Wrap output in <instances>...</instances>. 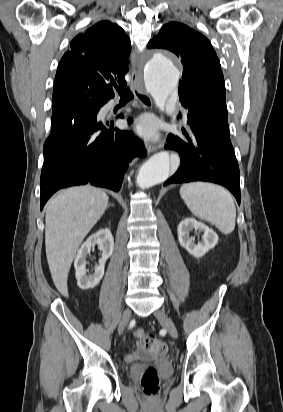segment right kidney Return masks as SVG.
<instances>
[{
	"mask_svg": "<svg viewBox=\"0 0 283 412\" xmlns=\"http://www.w3.org/2000/svg\"><path fill=\"white\" fill-rule=\"evenodd\" d=\"M98 244L102 251L99 265L95 266L94 273L87 275L86 258L90 254L91 247ZM114 249V239L111 231L107 228L101 229L95 234H92L82 244L75 257L74 267L77 284L81 289L94 288L104 276V267L107 259L111 257Z\"/></svg>",
	"mask_w": 283,
	"mask_h": 412,
	"instance_id": "ca27d5eb",
	"label": "right kidney"
}]
</instances>
